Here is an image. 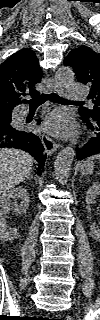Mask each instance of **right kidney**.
<instances>
[{
    "mask_svg": "<svg viewBox=\"0 0 100 320\" xmlns=\"http://www.w3.org/2000/svg\"><path fill=\"white\" fill-rule=\"evenodd\" d=\"M14 199L15 202H12ZM17 200L20 203L17 204ZM30 198L26 188L19 186L12 188L1 194L0 196V238L2 241H13L19 237V233L16 228L8 226L6 218L10 212L18 215L26 214V210L29 207Z\"/></svg>",
    "mask_w": 100,
    "mask_h": 320,
    "instance_id": "obj_1",
    "label": "right kidney"
}]
</instances>
